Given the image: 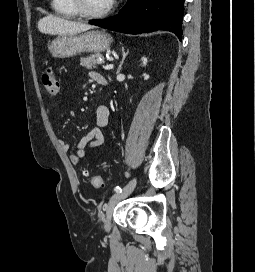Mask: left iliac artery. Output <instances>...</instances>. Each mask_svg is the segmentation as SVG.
<instances>
[{"instance_id": "left-iliac-artery-1", "label": "left iliac artery", "mask_w": 255, "mask_h": 272, "mask_svg": "<svg viewBox=\"0 0 255 272\" xmlns=\"http://www.w3.org/2000/svg\"><path fill=\"white\" fill-rule=\"evenodd\" d=\"M114 190L115 192H122V189L119 186L115 187Z\"/></svg>"}]
</instances>
